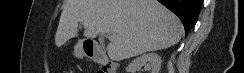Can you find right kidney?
<instances>
[{"mask_svg": "<svg viewBox=\"0 0 244 73\" xmlns=\"http://www.w3.org/2000/svg\"><path fill=\"white\" fill-rule=\"evenodd\" d=\"M161 58L156 53L143 54L140 57L134 59L127 67V73H136L139 71L142 65H144L145 70L150 73H159L161 67Z\"/></svg>", "mask_w": 244, "mask_h": 73, "instance_id": "obj_1", "label": "right kidney"}]
</instances>
